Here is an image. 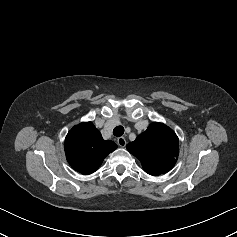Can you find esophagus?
<instances>
[{
	"instance_id": "1",
	"label": "esophagus",
	"mask_w": 237,
	"mask_h": 237,
	"mask_svg": "<svg viewBox=\"0 0 237 237\" xmlns=\"http://www.w3.org/2000/svg\"><path fill=\"white\" fill-rule=\"evenodd\" d=\"M117 144L120 146V147H125L126 146V140L124 137H119L117 139Z\"/></svg>"
}]
</instances>
